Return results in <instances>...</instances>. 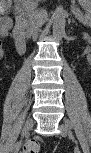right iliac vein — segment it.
<instances>
[{
    "label": "right iliac vein",
    "mask_w": 91,
    "mask_h": 153,
    "mask_svg": "<svg viewBox=\"0 0 91 153\" xmlns=\"http://www.w3.org/2000/svg\"><path fill=\"white\" fill-rule=\"evenodd\" d=\"M32 127H33V119L28 118L22 130V137H27ZM18 150H19V147H14V153H17Z\"/></svg>",
    "instance_id": "63e3f726"
}]
</instances>
